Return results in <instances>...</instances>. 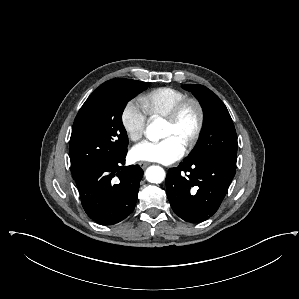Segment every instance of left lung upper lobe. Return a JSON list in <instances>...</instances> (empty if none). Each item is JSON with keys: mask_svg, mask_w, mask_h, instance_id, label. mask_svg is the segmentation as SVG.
Returning <instances> with one entry per match:
<instances>
[{"mask_svg": "<svg viewBox=\"0 0 299 299\" xmlns=\"http://www.w3.org/2000/svg\"><path fill=\"white\" fill-rule=\"evenodd\" d=\"M199 100L205 117L201 140L184 160L196 162L208 158L225 160L236 165L237 136L230 114L220 98L202 85H183Z\"/></svg>", "mask_w": 299, "mask_h": 299, "instance_id": "obj_1", "label": "left lung upper lobe"}]
</instances>
